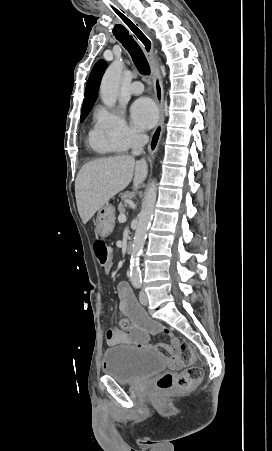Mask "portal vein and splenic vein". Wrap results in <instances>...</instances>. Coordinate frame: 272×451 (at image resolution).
<instances>
[{"instance_id": "18ae733b", "label": "portal vein and splenic vein", "mask_w": 272, "mask_h": 451, "mask_svg": "<svg viewBox=\"0 0 272 451\" xmlns=\"http://www.w3.org/2000/svg\"><path fill=\"white\" fill-rule=\"evenodd\" d=\"M118 220H119V222H126L125 214H120V216H118Z\"/></svg>"}]
</instances>
